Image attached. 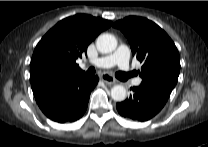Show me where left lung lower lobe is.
<instances>
[{"mask_svg":"<svg viewBox=\"0 0 208 147\" xmlns=\"http://www.w3.org/2000/svg\"><path fill=\"white\" fill-rule=\"evenodd\" d=\"M129 98L117 103L116 108L121 116L147 121L155 116L166 104L171 93L152 85L140 84L131 88Z\"/></svg>","mask_w":208,"mask_h":147,"instance_id":"obj_1","label":"left lung lower lobe"}]
</instances>
